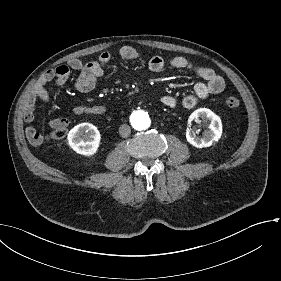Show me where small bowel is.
<instances>
[{
    "label": "small bowel",
    "instance_id": "1",
    "mask_svg": "<svg viewBox=\"0 0 281 281\" xmlns=\"http://www.w3.org/2000/svg\"><path fill=\"white\" fill-rule=\"evenodd\" d=\"M118 54L125 60H137L144 57L141 52L130 46L121 47ZM110 61L111 54L102 52L96 60L82 62L78 59H72L68 65H61L56 69L45 72L36 82L32 95L26 102L23 112L25 122L29 124L33 122L35 107L38 101L46 102L49 100L50 94L47 86L50 83H53L55 86H62L69 80L71 71H75L79 73L75 83L77 90L82 93L90 92L95 87L97 80L103 76V66ZM147 65L150 71L154 73L161 72L169 66L173 69L192 70L201 78V81L193 86L191 92L181 97L165 95L161 98V102L172 109L178 107L191 109L195 107L200 100L209 95L220 94L225 89L223 77L217 74L213 69L197 66L189 59L182 56H176L167 61L159 55H154L148 59ZM106 112V106L100 104L79 105L74 108V113L76 115H103ZM25 133L27 138L33 137L32 139L28 138L33 145H41L43 143V136L37 133L33 127H27Z\"/></svg>",
    "mask_w": 281,
    "mask_h": 281
}]
</instances>
